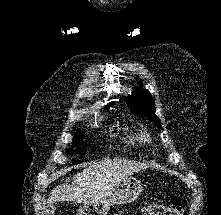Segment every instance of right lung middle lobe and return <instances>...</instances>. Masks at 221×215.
Here are the masks:
<instances>
[{
  "label": "right lung middle lobe",
  "instance_id": "1",
  "mask_svg": "<svg viewBox=\"0 0 221 215\" xmlns=\"http://www.w3.org/2000/svg\"><path fill=\"white\" fill-rule=\"evenodd\" d=\"M80 144H81L80 142H77V141L74 142V145H80ZM76 163H78V162H75L74 164H76Z\"/></svg>",
  "mask_w": 221,
  "mask_h": 215
}]
</instances>
